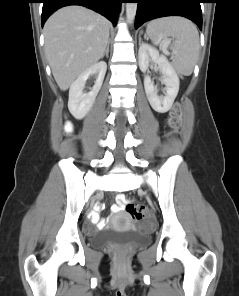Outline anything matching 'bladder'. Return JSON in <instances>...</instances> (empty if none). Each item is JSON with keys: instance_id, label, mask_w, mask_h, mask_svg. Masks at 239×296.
Listing matches in <instances>:
<instances>
[{"instance_id": "31cf9c89", "label": "bladder", "mask_w": 239, "mask_h": 296, "mask_svg": "<svg viewBox=\"0 0 239 296\" xmlns=\"http://www.w3.org/2000/svg\"><path fill=\"white\" fill-rule=\"evenodd\" d=\"M149 236L146 233L138 232L134 228L127 230L107 229L91 235L94 246L106 247L117 244L141 245L147 243Z\"/></svg>"}]
</instances>
